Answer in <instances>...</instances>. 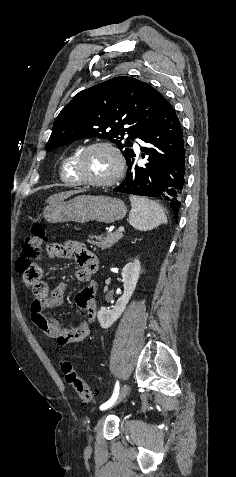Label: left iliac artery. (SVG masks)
Instances as JSON below:
<instances>
[{
	"label": "left iliac artery",
	"mask_w": 236,
	"mask_h": 477,
	"mask_svg": "<svg viewBox=\"0 0 236 477\" xmlns=\"http://www.w3.org/2000/svg\"><path fill=\"white\" fill-rule=\"evenodd\" d=\"M119 388H120L119 387V381H117L116 384H115L114 392H113L111 398L107 402L103 403L100 406V410H103L105 407H108L110 405V403L116 401V399L118 397V394H119Z\"/></svg>",
	"instance_id": "left-iliac-artery-1"
}]
</instances>
